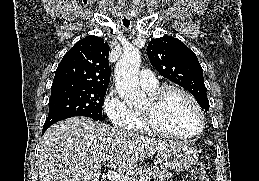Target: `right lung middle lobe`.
Listing matches in <instances>:
<instances>
[{
    "mask_svg": "<svg viewBox=\"0 0 259 181\" xmlns=\"http://www.w3.org/2000/svg\"><path fill=\"white\" fill-rule=\"evenodd\" d=\"M107 88L60 86L51 88L49 114L43 127L74 116L102 120Z\"/></svg>",
    "mask_w": 259,
    "mask_h": 181,
    "instance_id": "1",
    "label": "right lung middle lobe"
}]
</instances>
